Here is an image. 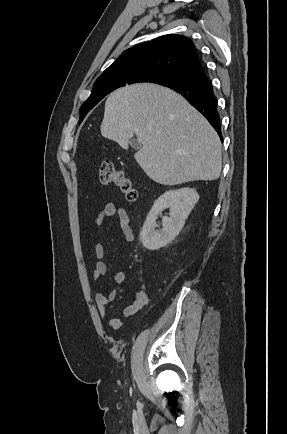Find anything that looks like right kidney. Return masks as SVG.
<instances>
[{
  "label": "right kidney",
  "instance_id": "ca27d5eb",
  "mask_svg": "<svg viewBox=\"0 0 287 434\" xmlns=\"http://www.w3.org/2000/svg\"><path fill=\"white\" fill-rule=\"evenodd\" d=\"M199 200L193 188L170 190L161 195L151 208L140 232L139 239L148 250H158L171 243L182 230L188 215ZM170 209V217L162 218V229L156 230V219L161 212Z\"/></svg>",
  "mask_w": 287,
  "mask_h": 434
}]
</instances>
